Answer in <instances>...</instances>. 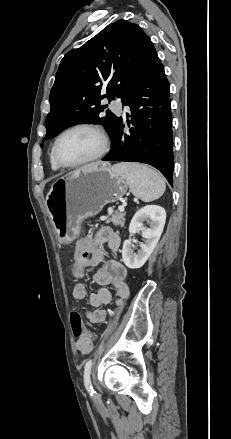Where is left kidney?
Masks as SVG:
<instances>
[{
  "label": "left kidney",
  "instance_id": "1",
  "mask_svg": "<svg viewBox=\"0 0 231 439\" xmlns=\"http://www.w3.org/2000/svg\"><path fill=\"white\" fill-rule=\"evenodd\" d=\"M147 221L149 228L144 227L143 222ZM166 221V211L158 205H147L136 212L130 225L129 233L134 235L139 230L142 231L144 243H140L137 253L133 252V242L131 239L125 240L122 248V260L130 269L142 267L155 249Z\"/></svg>",
  "mask_w": 231,
  "mask_h": 439
}]
</instances>
